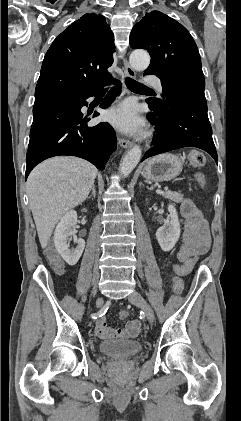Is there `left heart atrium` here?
Instances as JSON below:
<instances>
[{"label":"left heart atrium","mask_w":241,"mask_h":421,"mask_svg":"<svg viewBox=\"0 0 241 421\" xmlns=\"http://www.w3.org/2000/svg\"><path fill=\"white\" fill-rule=\"evenodd\" d=\"M106 118L116 128L127 133H139L144 127V122L137 115L134 105L129 102L110 109L106 114Z\"/></svg>","instance_id":"1"}]
</instances>
